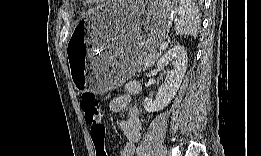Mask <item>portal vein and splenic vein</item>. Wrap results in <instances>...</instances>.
Returning a JSON list of instances; mask_svg holds the SVG:
<instances>
[{
  "instance_id": "portal-vein-and-splenic-vein-1",
  "label": "portal vein and splenic vein",
  "mask_w": 261,
  "mask_h": 156,
  "mask_svg": "<svg viewBox=\"0 0 261 156\" xmlns=\"http://www.w3.org/2000/svg\"><path fill=\"white\" fill-rule=\"evenodd\" d=\"M166 47H167V44H166V43H163V44L160 45L159 50L162 51V50H164Z\"/></svg>"
}]
</instances>
